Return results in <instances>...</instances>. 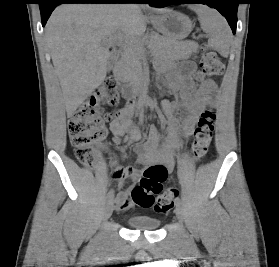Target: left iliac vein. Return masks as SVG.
<instances>
[{
  "instance_id": "obj_1",
  "label": "left iliac vein",
  "mask_w": 279,
  "mask_h": 267,
  "mask_svg": "<svg viewBox=\"0 0 279 267\" xmlns=\"http://www.w3.org/2000/svg\"><path fill=\"white\" fill-rule=\"evenodd\" d=\"M175 213H176L178 220L183 221V212H182V209L180 208V206L176 207Z\"/></svg>"
}]
</instances>
